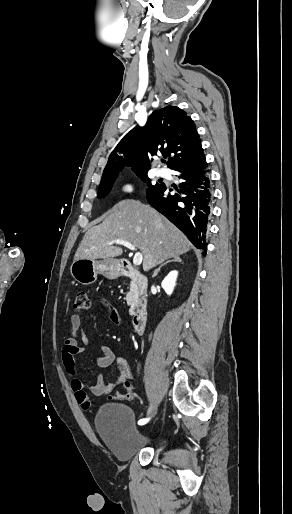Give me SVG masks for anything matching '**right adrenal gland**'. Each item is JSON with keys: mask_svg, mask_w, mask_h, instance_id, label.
<instances>
[{"mask_svg": "<svg viewBox=\"0 0 292 514\" xmlns=\"http://www.w3.org/2000/svg\"><path fill=\"white\" fill-rule=\"evenodd\" d=\"M169 262H182V260H180V258H173V260H168V262H165V264H161V266H159L158 270H155L152 278H155V276H157L158 272H160L162 266H166V264H169Z\"/></svg>", "mask_w": 292, "mask_h": 514, "instance_id": "right-adrenal-gland-1", "label": "right adrenal gland"}]
</instances>
